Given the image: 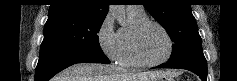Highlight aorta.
Masks as SVG:
<instances>
[{
  "label": "aorta",
  "instance_id": "obj_1",
  "mask_svg": "<svg viewBox=\"0 0 237 81\" xmlns=\"http://www.w3.org/2000/svg\"><path fill=\"white\" fill-rule=\"evenodd\" d=\"M109 13L112 14L122 26L127 23L124 5H110Z\"/></svg>",
  "mask_w": 237,
  "mask_h": 81
}]
</instances>
